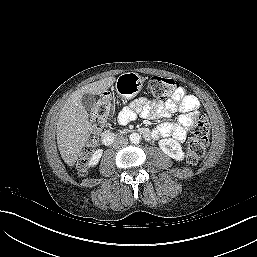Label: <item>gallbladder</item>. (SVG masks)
Returning <instances> with one entry per match:
<instances>
[{"label":"gallbladder","instance_id":"obj_1","mask_svg":"<svg viewBox=\"0 0 257 257\" xmlns=\"http://www.w3.org/2000/svg\"><path fill=\"white\" fill-rule=\"evenodd\" d=\"M81 102H82L83 107L86 110L90 111L96 105V98L93 94L86 93L82 96Z\"/></svg>","mask_w":257,"mask_h":257}]
</instances>
